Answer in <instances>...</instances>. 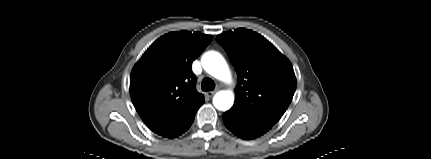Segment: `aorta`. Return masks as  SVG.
<instances>
[{"label":"aorta","mask_w":431,"mask_h":159,"mask_svg":"<svg viewBox=\"0 0 431 159\" xmlns=\"http://www.w3.org/2000/svg\"><path fill=\"white\" fill-rule=\"evenodd\" d=\"M204 70L216 79L227 82L231 79V73L223 56L216 51L206 52L201 58ZM234 103L232 91H219L213 98V104L220 111L229 110Z\"/></svg>","instance_id":"obj_1"}]
</instances>
